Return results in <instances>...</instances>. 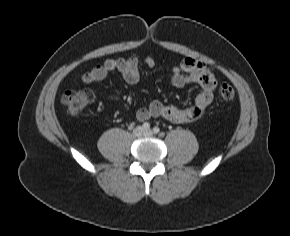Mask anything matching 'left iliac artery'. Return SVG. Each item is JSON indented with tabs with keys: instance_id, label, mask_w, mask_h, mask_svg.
Wrapping results in <instances>:
<instances>
[{
	"instance_id": "44dca946",
	"label": "left iliac artery",
	"mask_w": 290,
	"mask_h": 236,
	"mask_svg": "<svg viewBox=\"0 0 290 236\" xmlns=\"http://www.w3.org/2000/svg\"><path fill=\"white\" fill-rule=\"evenodd\" d=\"M153 132H154L155 134H157V133L160 132V129H159L157 126H155V127L153 128Z\"/></svg>"
}]
</instances>
